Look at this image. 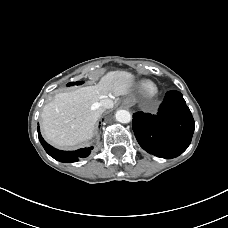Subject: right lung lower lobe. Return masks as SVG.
<instances>
[{"label":"right lung lower lobe","instance_id":"98d812e1","mask_svg":"<svg viewBox=\"0 0 228 228\" xmlns=\"http://www.w3.org/2000/svg\"><path fill=\"white\" fill-rule=\"evenodd\" d=\"M38 136H39V140L42 144V146L44 147L45 151L54 159L60 161V162H77L80 158H85L87 156H89V154L91 153V150L93 149V147H89V148H83V149H79L76 151H61L58 149H55L54 147H52L51 145H49L41 136L40 134V129L38 126Z\"/></svg>","mask_w":228,"mask_h":228}]
</instances>
